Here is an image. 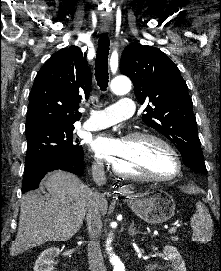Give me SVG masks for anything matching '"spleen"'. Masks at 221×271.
Segmentation results:
<instances>
[{"label": "spleen", "mask_w": 221, "mask_h": 271, "mask_svg": "<svg viewBox=\"0 0 221 271\" xmlns=\"http://www.w3.org/2000/svg\"><path fill=\"white\" fill-rule=\"evenodd\" d=\"M190 225L193 229V241L207 243L212 239L213 219L202 201H197L196 211L190 219Z\"/></svg>", "instance_id": "3e777b00"}]
</instances>
